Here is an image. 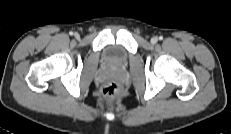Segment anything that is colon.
Instances as JSON below:
<instances>
[{"label": "colon", "mask_w": 231, "mask_h": 134, "mask_svg": "<svg viewBox=\"0 0 231 134\" xmlns=\"http://www.w3.org/2000/svg\"><path fill=\"white\" fill-rule=\"evenodd\" d=\"M102 93L106 99H114L121 94V89L117 84L111 83L103 89Z\"/></svg>", "instance_id": "1"}]
</instances>
